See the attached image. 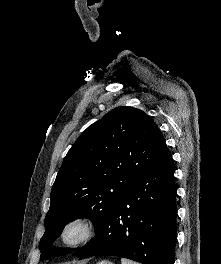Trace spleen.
I'll use <instances>...</instances> for the list:
<instances>
[{"label":"spleen","mask_w":221,"mask_h":264,"mask_svg":"<svg viewBox=\"0 0 221 264\" xmlns=\"http://www.w3.org/2000/svg\"><path fill=\"white\" fill-rule=\"evenodd\" d=\"M121 264H139V263H136V262L130 261L128 259L122 258L121 259Z\"/></svg>","instance_id":"spleen-1"}]
</instances>
